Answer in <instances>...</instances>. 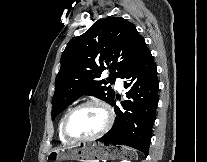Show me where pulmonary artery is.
<instances>
[{
  "label": "pulmonary artery",
  "mask_w": 207,
  "mask_h": 162,
  "mask_svg": "<svg viewBox=\"0 0 207 162\" xmlns=\"http://www.w3.org/2000/svg\"><path fill=\"white\" fill-rule=\"evenodd\" d=\"M115 87L117 90L121 91L123 89V81L121 79H117L115 83Z\"/></svg>",
  "instance_id": "obj_1"
}]
</instances>
